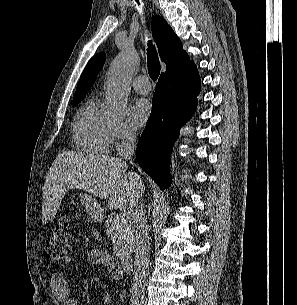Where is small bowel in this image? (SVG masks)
Instances as JSON below:
<instances>
[{
  "label": "small bowel",
  "mask_w": 297,
  "mask_h": 305,
  "mask_svg": "<svg viewBox=\"0 0 297 305\" xmlns=\"http://www.w3.org/2000/svg\"><path fill=\"white\" fill-rule=\"evenodd\" d=\"M88 262L92 265H104L111 277L120 280L122 269L114 257L104 250H92L88 254ZM50 286L54 295L63 305H79L77 300L71 296L69 283L63 273L56 271L53 273Z\"/></svg>",
  "instance_id": "small-bowel-1"
}]
</instances>
